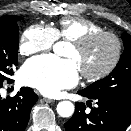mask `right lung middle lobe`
<instances>
[{
  "instance_id": "right-lung-middle-lobe-1",
  "label": "right lung middle lobe",
  "mask_w": 131,
  "mask_h": 131,
  "mask_svg": "<svg viewBox=\"0 0 131 131\" xmlns=\"http://www.w3.org/2000/svg\"><path fill=\"white\" fill-rule=\"evenodd\" d=\"M18 16L0 17V84L9 81L13 74V67L17 65L18 58Z\"/></svg>"
}]
</instances>
